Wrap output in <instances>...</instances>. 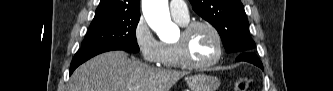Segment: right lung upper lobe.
I'll use <instances>...</instances> for the list:
<instances>
[{
    "label": "right lung upper lobe",
    "mask_w": 333,
    "mask_h": 91,
    "mask_svg": "<svg viewBox=\"0 0 333 91\" xmlns=\"http://www.w3.org/2000/svg\"><path fill=\"white\" fill-rule=\"evenodd\" d=\"M140 0H101L95 12V17L114 15H137Z\"/></svg>",
    "instance_id": "obj_1"
}]
</instances>
